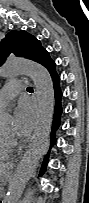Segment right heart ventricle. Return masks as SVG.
<instances>
[{
    "mask_svg": "<svg viewBox=\"0 0 89 203\" xmlns=\"http://www.w3.org/2000/svg\"><path fill=\"white\" fill-rule=\"evenodd\" d=\"M11 154V148L7 145L5 139L0 134V160H6Z\"/></svg>",
    "mask_w": 89,
    "mask_h": 203,
    "instance_id": "e07e8e85",
    "label": "right heart ventricle"
}]
</instances>
